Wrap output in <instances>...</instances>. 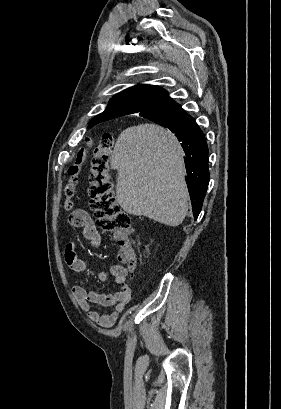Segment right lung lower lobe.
<instances>
[{
	"mask_svg": "<svg viewBox=\"0 0 281 409\" xmlns=\"http://www.w3.org/2000/svg\"><path fill=\"white\" fill-rule=\"evenodd\" d=\"M140 116L152 119L158 117H175L178 121L167 126L175 134L186 154L185 166L189 183V194L193 215L197 219L209 183L208 146L205 136L194 118L188 115L179 104L161 109H153L140 113Z\"/></svg>",
	"mask_w": 281,
	"mask_h": 409,
	"instance_id": "1",
	"label": "right lung lower lobe"
}]
</instances>
